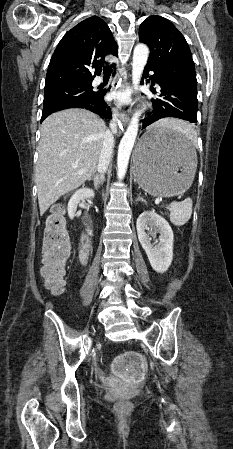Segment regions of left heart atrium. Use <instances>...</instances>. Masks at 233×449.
<instances>
[{"label":"left heart atrium","mask_w":233,"mask_h":449,"mask_svg":"<svg viewBox=\"0 0 233 449\" xmlns=\"http://www.w3.org/2000/svg\"><path fill=\"white\" fill-rule=\"evenodd\" d=\"M113 97L120 102L126 103L130 101V92L128 90L115 91Z\"/></svg>","instance_id":"obj_1"}]
</instances>
